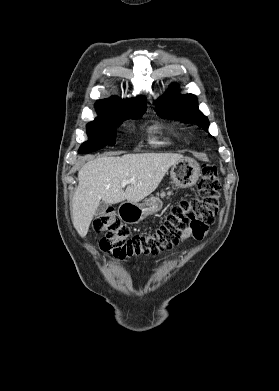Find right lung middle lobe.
Masks as SVG:
<instances>
[{"label": "right lung middle lobe", "mask_w": 279, "mask_h": 391, "mask_svg": "<svg viewBox=\"0 0 279 391\" xmlns=\"http://www.w3.org/2000/svg\"><path fill=\"white\" fill-rule=\"evenodd\" d=\"M146 108L130 113H104L98 114L94 121L87 124V134L89 140L84 142L79 153H90L98 150L105 145H114L116 132L115 128L125 119L139 118L145 113Z\"/></svg>", "instance_id": "obj_1"}]
</instances>
